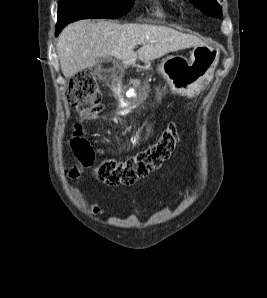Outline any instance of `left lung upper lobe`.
Wrapping results in <instances>:
<instances>
[{
    "mask_svg": "<svg viewBox=\"0 0 267 298\" xmlns=\"http://www.w3.org/2000/svg\"><path fill=\"white\" fill-rule=\"evenodd\" d=\"M190 1L206 15L221 18L222 9L216 0H190Z\"/></svg>",
    "mask_w": 267,
    "mask_h": 298,
    "instance_id": "5c2ea615",
    "label": "left lung upper lobe"
}]
</instances>
